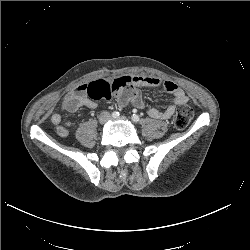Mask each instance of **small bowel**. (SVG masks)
I'll return each mask as SVG.
<instances>
[{"instance_id":"c3829d8e","label":"small bowel","mask_w":250,"mask_h":250,"mask_svg":"<svg viewBox=\"0 0 250 250\" xmlns=\"http://www.w3.org/2000/svg\"><path fill=\"white\" fill-rule=\"evenodd\" d=\"M115 88L114 97L119 104L123 105L124 93L129 94L128 103L137 108H144V102L141 95V88H163L173 95V103L164 109L150 108L148 115L153 119L165 120L173 116L176 107L187 103L188 97L176 83L172 81H162L155 77L140 75H125L107 79ZM87 84L80 85L72 96L65 102L64 108L69 112H74L78 108L85 106L89 109H95L97 103L90 99L86 92ZM51 122L56 127L59 136L67 137L73 127L70 121H64L62 116L55 113L51 116Z\"/></svg>"}]
</instances>
